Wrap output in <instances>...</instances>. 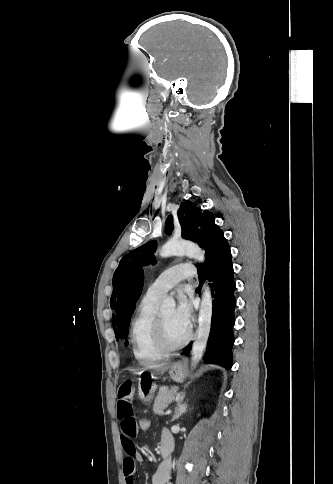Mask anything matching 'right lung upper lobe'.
Returning <instances> with one entry per match:
<instances>
[{"instance_id":"right-lung-upper-lobe-1","label":"right lung upper lobe","mask_w":333,"mask_h":484,"mask_svg":"<svg viewBox=\"0 0 333 484\" xmlns=\"http://www.w3.org/2000/svg\"><path fill=\"white\" fill-rule=\"evenodd\" d=\"M142 287V268H133L124 281L116 304L117 326L120 334L126 323L130 321L136 301L141 294Z\"/></svg>"}]
</instances>
